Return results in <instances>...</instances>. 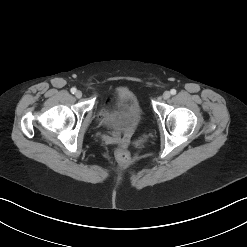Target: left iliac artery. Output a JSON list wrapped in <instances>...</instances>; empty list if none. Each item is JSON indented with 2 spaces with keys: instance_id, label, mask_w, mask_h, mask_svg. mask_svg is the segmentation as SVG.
<instances>
[{
  "instance_id": "44dca946",
  "label": "left iliac artery",
  "mask_w": 247,
  "mask_h": 247,
  "mask_svg": "<svg viewBox=\"0 0 247 247\" xmlns=\"http://www.w3.org/2000/svg\"><path fill=\"white\" fill-rule=\"evenodd\" d=\"M170 93H171L172 95H175V94H176V90H175V89H171Z\"/></svg>"
}]
</instances>
